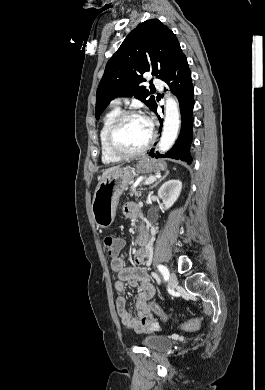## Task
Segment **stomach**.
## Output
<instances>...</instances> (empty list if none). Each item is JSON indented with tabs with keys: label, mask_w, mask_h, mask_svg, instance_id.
<instances>
[{
	"label": "stomach",
	"mask_w": 265,
	"mask_h": 390,
	"mask_svg": "<svg viewBox=\"0 0 265 390\" xmlns=\"http://www.w3.org/2000/svg\"><path fill=\"white\" fill-rule=\"evenodd\" d=\"M164 161L148 158L139 159L136 170L122 168L107 175L98 185L92 203V213L96 225L100 228L109 227L116 216V209L121 194L128 188L134 178V173L145 174L166 169Z\"/></svg>",
	"instance_id": "obj_1"
}]
</instances>
